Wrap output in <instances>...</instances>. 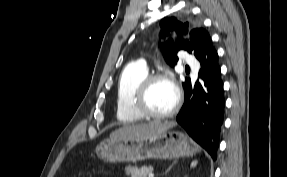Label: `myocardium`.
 Returning a JSON list of instances; mask_svg holds the SVG:
<instances>
[{"mask_svg":"<svg viewBox=\"0 0 287 177\" xmlns=\"http://www.w3.org/2000/svg\"><path fill=\"white\" fill-rule=\"evenodd\" d=\"M157 81H166L172 85L175 91V103L171 109L163 113H154L150 111L146 105V99L151 86ZM182 95L179 87L165 73L148 74L138 86L132 100L133 108L142 117L149 119H164L175 115L181 107Z\"/></svg>","mask_w":287,"mask_h":177,"instance_id":"1","label":"myocardium"}]
</instances>
